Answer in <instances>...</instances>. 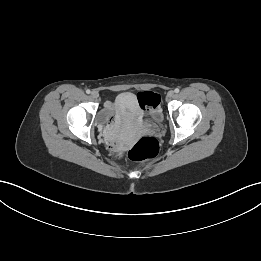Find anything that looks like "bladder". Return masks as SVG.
<instances>
[{
  "mask_svg": "<svg viewBox=\"0 0 261 261\" xmlns=\"http://www.w3.org/2000/svg\"><path fill=\"white\" fill-rule=\"evenodd\" d=\"M111 112L120 125L138 123L139 104L137 97L131 92L119 93L111 105ZM160 117L155 118L158 120Z\"/></svg>",
  "mask_w": 261,
  "mask_h": 261,
  "instance_id": "obj_1",
  "label": "bladder"
}]
</instances>
